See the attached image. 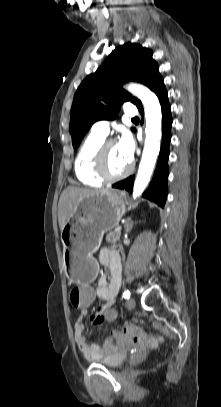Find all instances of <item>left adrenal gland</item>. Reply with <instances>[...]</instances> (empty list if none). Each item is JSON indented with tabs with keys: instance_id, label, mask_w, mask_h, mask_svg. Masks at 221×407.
Instances as JSON below:
<instances>
[{
	"instance_id": "obj_1",
	"label": "left adrenal gland",
	"mask_w": 221,
	"mask_h": 407,
	"mask_svg": "<svg viewBox=\"0 0 221 407\" xmlns=\"http://www.w3.org/2000/svg\"><path fill=\"white\" fill-rule=\"evenodd\" d=\"M134 222L131 221V218H127L126 223H125V231L126 233L130 232L132 227H133Z\"/></svg>"
}]
</instances>
